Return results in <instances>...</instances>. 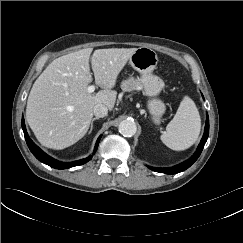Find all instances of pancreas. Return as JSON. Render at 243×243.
<instances>
[{
    "label": "pancreas",
    "instance_id": "cf45deb5",
    "mask_svg": "<svg viewBox=\"0 0 243 243\" xmlns=\"http://www.w3.org/2000/svg\"><path fill=\"white\" fill-rule=\"evenodd\" d=\"M121 89L123 92L140 91L143 89L139 78L129 77L128 79L122 81Z\"/></svg>",
    "mask_w": 243,
    "mask_h": 243
}]
</instances>
